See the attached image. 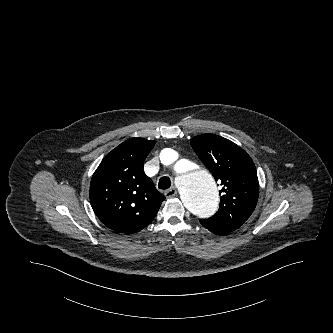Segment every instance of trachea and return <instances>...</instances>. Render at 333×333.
I'll return each mask as SVG.
<instances>
[{
    "mask_svg": "<svg viewBox=\"0 0 333 333\" xmlns=\"http://www.w3.org/2000/svg\"><path fill=\"white\" fill-rule=\"evenodd\" d=\"M170 186H171V180L169 177L165 176V177L160 178L159 183H158L159 189L165 190V189L170 188Z\"/></svg>",
    "mask_w": 333,
    "mask_h": 333,
    "instance_id": "obj_1",
    "label": "trachea"
}]
</instances>
